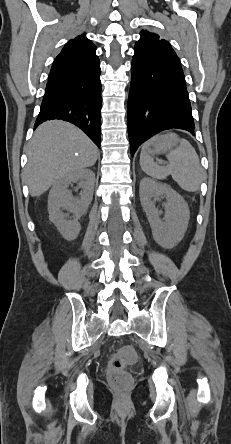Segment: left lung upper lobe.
Instances as JSON below:
<instances>
[{"label":"left lung upper lobe","instance_id":"left-lung-upper-lobe-1","mask_svg":"<svg viewBox=\"0 0 231 444\" xmlns=\"http://www.w3.org/2000/svg\"><path fill=\"white\" fill-rule=\"evenodd\" d=\"M134 51L145 56L165 58L181 66L180 60L171 45L164 39H160L155 33L141 31L140 39L136 42Z\"/></svg>","mask_w":231,"mask_h":444}]
</instances>
